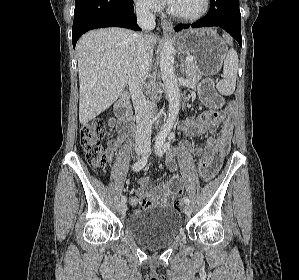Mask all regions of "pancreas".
Masks as SVG:
<instances>
[{
	"label": "pancreas",
	"mask_w": 299,
	"mask_h": 280,
	"mask_svg": "<svg viewBox=\"0 0 299 280\" xmlns=\"http://www.w3.org/2000/svg\"><path fill=\"white\" fill-rule=\"evenodd\" d=\"M185 76L192 85L197 84L202 79L198 65L194 59L185 62Z\"/></svg>",
	"instance_id": "cf45deb5"
}]
</instances>
